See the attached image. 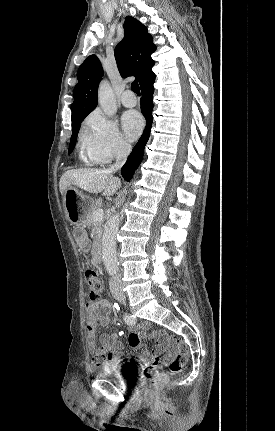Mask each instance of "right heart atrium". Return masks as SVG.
<instances>
[{"label":"right heart atrium","instance_id":"obj_1","mask_svg":"<svg viewBox=\"0 0 275 431\" xmlns=\"http://www.w3.org/2000/svg\"><path fill=\"white\" fill-rule=\"evenodd\" d=\"M79 141L82 151L94 164H108L130 150L117 124L98 110L85 119Z\"/></svg>","mask_w":275,"mask_h":431}]
</instances>
